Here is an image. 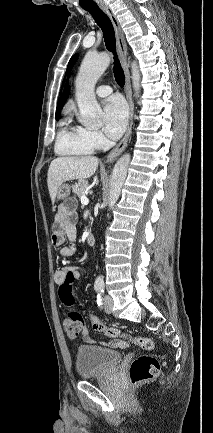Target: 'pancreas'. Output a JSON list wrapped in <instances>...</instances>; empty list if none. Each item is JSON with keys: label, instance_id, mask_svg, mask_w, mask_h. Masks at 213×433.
Instances as JSON below:
<instances>
[{"label": "pancreas", "instance_id": "obj_1", "mask_svg": "<svg viewBox=\"0 0 213 433\" xmlns=\"http://www.w3.org/2000/svg\"><path fill=\"white\" fill-rule=\"evenodd\" d=\"M88 183L85 180H79L78 183H75L72 186V191L81 198L82 195H85L87 191Z\"/></svg>", "mask_w": 213, "mask_h": 433}]
</instances>
